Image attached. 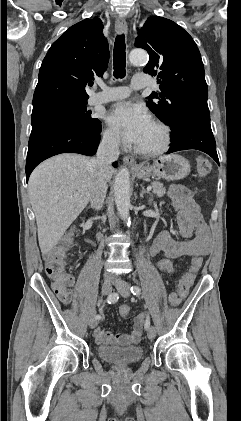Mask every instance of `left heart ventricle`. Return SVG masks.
Returning <instances> with one entry per match:
<instances>
[{"label": "left heart ventricle", "instance_id": "1", "mask_svg": "<svg viewBox=\"0 0 241 421\" xmlns=\"http://www.w3.org/2000/svg\"><path fill=\"white\" fill-rule=\"evenodd\" d=\"M161 140L162 134L160 129L151 123L137 146L144 149H151L157 147L161 143Z\"/></svg>", "mask_w": 241, "mask_h": 421}]
</instances>
